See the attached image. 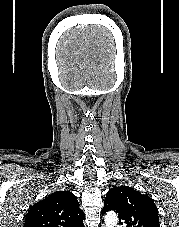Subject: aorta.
Listing matches in <instances>:
<instances>
[{"label":"aorta","instance_id":"1","mask_svg":"<svg viewBox=\"0 0 179 227\" xmlns=\"http://www.w3.org/2000/svg\"><path fill=\"white\" fill-rule=\"evenodd\" d=\"M118 222V217L116 213L114 212H109L105 216V223L107 227H113L116 226Z\"/></svg>","mask_w":179,"mask_h":227}]
</instances>
